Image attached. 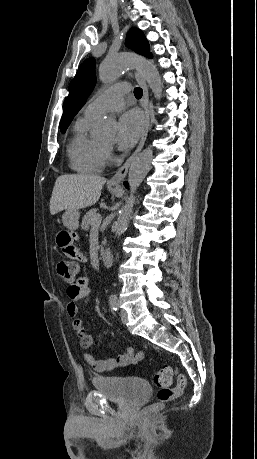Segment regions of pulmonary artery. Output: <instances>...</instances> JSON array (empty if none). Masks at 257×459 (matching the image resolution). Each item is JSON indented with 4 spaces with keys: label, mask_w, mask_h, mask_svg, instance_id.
I'll list each match as a JSON object with an SVG mask.
<instances>
[{
    "label": "pulmonary artery",
    "mask_w": 257,
    "mask_h": 459,
    "mask_svg": "<svg viewBox=\"0 0 257 459\" xmlns=\"http://www.w3.org/2000/svg\"><path fill=\"white\" fill-rule=\"evenodd\" d=\"M128 91L129 88L126 82L112 85L93 99L85 108L84 113L88 116L96 117L117 111L124 106V96Z\"/></svg>",
    "instance_id": "1"
}]
</instances>
